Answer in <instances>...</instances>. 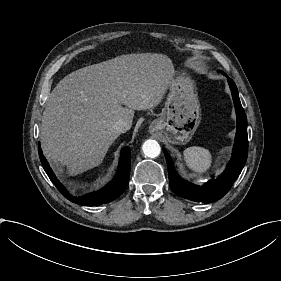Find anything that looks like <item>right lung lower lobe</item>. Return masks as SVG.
<instances>
[{
  "label": "right lung lower lobe",
  "mask_w": 281,
  "mask_h": 281,
  "mask_svg": "<svg viewBox=\"0 0 281 281\" xmlns=\"http://www.w3.org/2000/svg\"><path fill=\"white\" fill-rule=\"evenodd\" d=\"M38 151H39V157L42 166L45 172L47 173L48 177L50 178V180L57 187L60 193L73 203L84 205V206L105 204L118 198L124 192V190L128 185L129 176H130L129 148H123L121 150V157L119 161L118 170L113 180L102 189L93 193L86 194L81 197H74L68 193L66 188L58 181L53 171L51 170L47 160L43 156L40 145L38 146Z\"/></svg>",
  "instance_id": "right-lung-lower-lobe-1"
}]
</instances>
